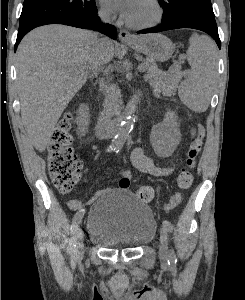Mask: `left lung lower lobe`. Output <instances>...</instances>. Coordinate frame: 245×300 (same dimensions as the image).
Masks as SVG:
<instances>
[{"label":"left lung lower lobe","mask_w":245,"mask_h":300,"mask_svg":"<svg viewBox=\"0 0 245 300\" xmlns=\"http://www.w3.org/2000/svg\"><path fill=\"white\" fill-rule=\"evenodd\" d=\"M179 28H193L206 32L216 41L218 47L221 48V41L214 16L192 10H180L170 18L162 21L159 26L143 29L137 33H156Z\"/></svg>","instance_id":"obj_1"}]
</instances>
